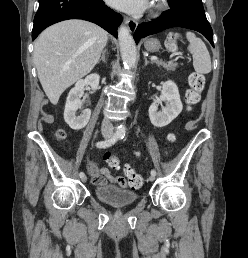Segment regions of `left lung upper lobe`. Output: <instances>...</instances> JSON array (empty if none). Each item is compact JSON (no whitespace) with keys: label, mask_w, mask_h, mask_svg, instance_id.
I'll list each match as a JSON object with an SVG mask.
<instances>
[{"label":"left lung upper lobe","mask_w":248,"mask_h":258,"mask_svg":"<svg viewBox=\"0 0 248 258\" xmlns=\"http://www.w3.org/2000/svg\"><path fill=\"white\" fill-rule=\"evenodd\" d=\"M186 1L202 2L201 0H168V3H170V4H176V3L186 2Z\"/></svg>","instance_id":"5c2ea615"}]
</instances>
